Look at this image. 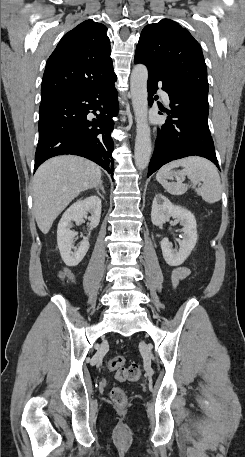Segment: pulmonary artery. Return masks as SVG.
Listing matches in <instances>:
<instances>
[{"label": "pulmonary artery", "instance_id": "pulmonary-artery-1", "mask_svg": "<svg viewBox=\"0 0 245 457\" xmlns=\"http://www.w3.org/2000/svg\"><path fill=\"white\" fill-rule=\"evenodd\" d=\"M153 86H154V88L157 89V88H159L160 85H159V83L156 82V83H154ZM159 100H160V102H166V103L169 102L170 95H169V91L167 89H162L160 91ZM165 106H167V105H165Z\"/></svg>", "mask_w": 245, "mask_h": 457}]
</instances>
